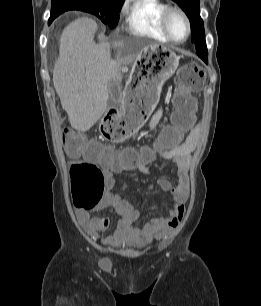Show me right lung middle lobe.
<instances>
[{"mask_svg":"<svg viewBox=\"0 0 261 306\" xmlns=\"http://www.w3.org/2000/svg\"><path fill=\"white\" fill-rule=\"evenodd\" d=\"M124 0H75L71 2H52L51 18H56L68 10H81L101 18L110 28H114L119 20V11Z\"/></svg>","mask_w":261,"mask_h":306,"instance_id":"dd1d6c3e","label":"right lung middle lobe"}]
</instances>
